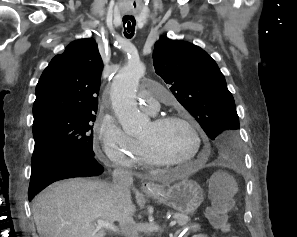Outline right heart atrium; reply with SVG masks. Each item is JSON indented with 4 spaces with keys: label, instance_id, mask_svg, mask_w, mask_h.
Segmentation results:
<instances>
[{
    "label": "right heart atrium",
    "instance_id": "d8ad5b80",
    "mask_svg": "<svg viewBox=\"0 0 297 237\" xmlns=\"http://www.w3.org/2000/svg\"><path fill=\"white\" fill-rule=\"evenodd\" d=\"M98 143L103 157L115 167L132 169L139 162L140 143L128 136L109 115L100 119Z\"/></svg>",
    "mask_w": 297,
    "mask_h": 237
}]
</instances>
